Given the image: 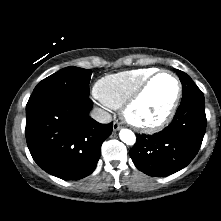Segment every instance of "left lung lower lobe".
<instances>
[{
	"label": "left lung lower lobe",
	"mask_w": 221,
	"mask_h": 221,
	"mask_svg": "<svg viewBox=\"0 0 221 221\" xmlns=\"http://www.w3.org/2000/svg\"><path fill=\"white\" fill-rule=\"evenodd\" d=\"M206 124L204 100L183 102L168 127L153 135L137 137L130 157L149 176L173 174L186 167L198 153Z\"/></svg>",
	"instance_id": "left-lung-lower-lobe-1"
}]
</instances>
